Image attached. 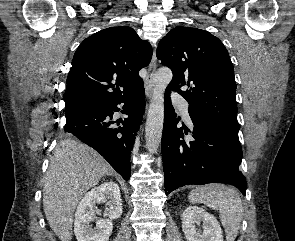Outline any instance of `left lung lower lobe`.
Segmentation results:
<instances>
[{
    "mask_svg": "<svg viewBox=\"0 0 295 241\" xmlns=\"http://www.w3.org/2000/svg\"><path fill=\"white\" fill-rule=\"evenodd\" d=\"M165 115L162 133V158L165 193L189 184L227 183L245 195L247 183L239 165L242 149L238 132H233L207 120L192 119L195 141L184 138L166 90ZM188 129L184 128L185 134Z\"/></svg>",
    "mask_w": 295,
    "mask_h": 241,
    "instance_id": "left-lung-lower-lobe-1",
    "label": "left lung lower lobe"
}]
</instances>
